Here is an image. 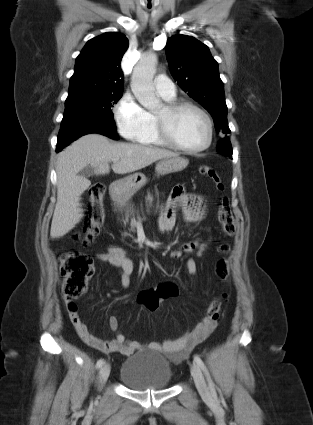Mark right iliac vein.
Listing matches in <instances>:
<instances>
[{
  "mask_svg": "<svg viewBox=\"0 0 313 425\" xmlns=\"http://www.w3.org/2000/svg\"><path fill=\"white\" fill-rule=\"evenodd\" d=\"M110 369H111V367H110V364L109 363H105L101 367V369L99 371V377H100L101 384H104L107 381V379H108V377L110 375Z\"/></svg>",
  "mask_w": 313,
  "mask_h": 425,
  "instance_id": "63e3f726",
  "label": "right iliac vein"
}]
</instances>
